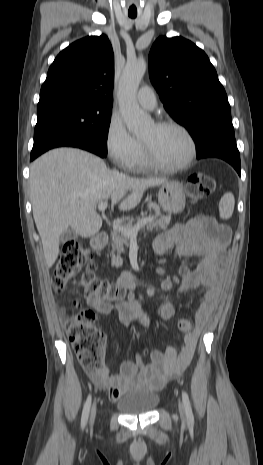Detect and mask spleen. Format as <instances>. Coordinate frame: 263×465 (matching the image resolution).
Here are the masks:
<instances>
[{
	"instance_id": "3e777b00",
	"label": "spleen",
	"mask_w": 263,
	"mask_h": 465,
	"mask_svg": "<svg viewBox=\"0 0 263 465\" xmlns=\"http://www.w3.org/2000/svg\"><path fill=\"white\" fill-rule=\"evenodd\" d=\"M235 199L232 193L223 195L219 202V213L222 219H229L234 210Z\"/></svg>"
}]
</instances>
